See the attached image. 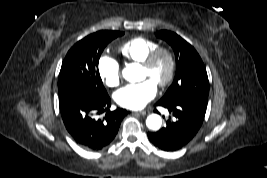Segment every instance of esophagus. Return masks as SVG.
Wrapping results in <instances>:
<instances>
[{
    "label": "esophagus",
    "instance_id": "esophagus-1",
    "mask_svg": "<svg viewBox=\"0 0 267 178\" xmlns=\"http://www.w3.org/2000/svg\"><path fill=\"white\" fill-rule=\"evenodd\" d=\"M138 114H141V115H148L150 113L149 110H141L139 112H137Z\"/></svg>",
    "mask_w": 267,
    "mask_h": 178
}]
</instances>
